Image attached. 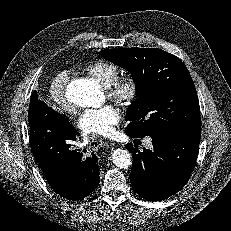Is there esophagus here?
Returning a JSON list of instances; mask_svg holds the SVG:
<instances>
[{
  "label": "esophagus",
  "mask_w": 231,
  "mask_h": 231,
  "mask_svg": "<svg viewBox=\"0 0 231 231\" xmlns=\"http://www.w3.org/2000/svg\"><path fill=\"white\" fill-rule=\"evenodd\" d=\"M101 145L111 146V145H113V142L111 140H108V139H103V140H101Z\"/></svg>",
  "instance_id": "34e87169"
}]
</instances>
